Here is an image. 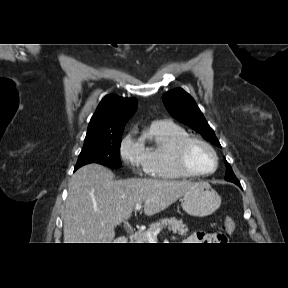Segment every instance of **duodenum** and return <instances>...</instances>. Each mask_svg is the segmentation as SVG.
<instances>
[{
	"instance_id": "410a0bca",
	"label": "duodenum",
	"mask_w": 288,
	"mask_h": 288,
	"mask_svg": "<svg viewBox=\"0 0 288 288\" xmlns=\"http://www.w3.org/2000/svg\"><path fill=\"white\" fill-rule=\"evenodd\" d=\"M120 239H121L122 243H130V237L123 236Z\"/></svg>"
}]
</instances>
